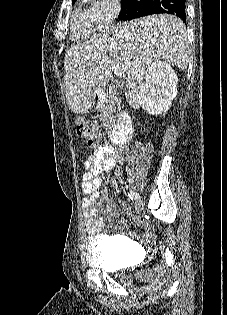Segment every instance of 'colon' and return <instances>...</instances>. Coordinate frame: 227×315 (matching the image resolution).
<instances>
[{"label":"colon","mask_w":227,"mask_h":315,"mask_svg":"<svg viewBox=\"0 0 227 315\" xmlns=\"http://www.w3.org/2000/svg\"><path fill=\"white\" fill-rule=\"evenodd\" d=\"M75 125L77 134L87 139L88 146L96 147L104 142L103 134L92 120L79 116L75 119Z\"/></svg>","instance_id":"obj_1"}]
</instances>
